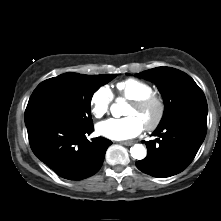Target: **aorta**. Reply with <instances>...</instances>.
<instances>
[{
    "label": "aorta",
    "mask_w": 221,
    "mask_h": 221,
    "mask_svg": "<svg viewBox=\"0 0 221 221\" xmlns=\"http://www.w3.org/2000/svg\"><path fill=\"white\" fill-rule=\"evenodd\" d=\"M119 110H120L119 105L113 104L111 106V112H112L113 115H115V113ZM130 153H131V156L134 159H137V160H142L146 157V149L141 144H135L133 147H131Z\"/></svg>",
    "instance_id": "1"
}]
</instances>
